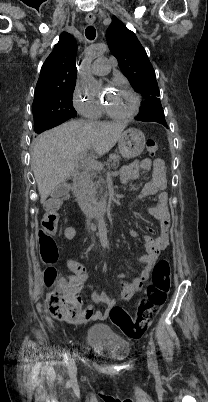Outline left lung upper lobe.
Returning <instances> with one entry per match:
<instances>
[{"instance_id": "1", "label": "left lung upper lobe", "mask_w": 208, "mask_h": 402, "mask_svg": "<svg viewBox=\"0 0 208 402\" xmlns=\"http://www.w3.org/2000/svg\"><path fill=\"white\" fill-rule=\"evenodd\" d=\"M111 53L132 87L143 96V108L136 117L139 121H154L167 126L161 106L159 88L152 64L136 35L116 17L106 32Z\"/></svg>"}]
</instances>
